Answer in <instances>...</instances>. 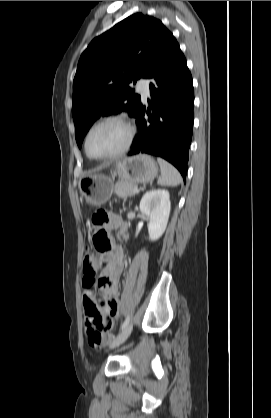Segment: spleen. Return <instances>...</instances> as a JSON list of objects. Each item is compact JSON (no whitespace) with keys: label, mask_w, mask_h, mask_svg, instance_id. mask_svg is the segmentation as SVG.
I'll return each mask as SVG.
<instances>
[{"label":"spleen","mask_w":271,"mask_h":418,"mask_svg":"<svg viewBox=\"0 0 271 418\" xmlns=\"http://www.w3.org/2000/svg\"><path fill=\"white\" fill-rule=\"evenodd\" d=\"M160 169L161 176L158 179V185L160 186H177L181 183L182 178L178 170L171 165L169 162L162 158L157 159Z\"/></svg>","instance_id":"obj_1"}]
</instances>
